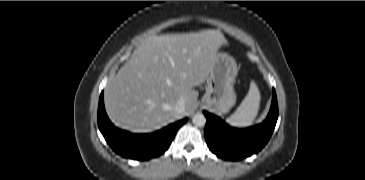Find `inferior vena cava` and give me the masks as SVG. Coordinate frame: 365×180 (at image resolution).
<instances>
[{"instance_id": "inferior-vena-cava-1", "label": "inferior vena cava", "mask_w": 365, "mask_h": 180, "mask_svg": "<svg viewBox=\"0 0 365 180\" xmlns=\"http://www.w3.org/2000/svg\"><path fill=\"white\" fill-rule=\"evenodd\" d=\"M174 110L178 113V114H183L185 111V101L183 99H179L177 101V103L174 106Z\"/></svg>"}]
</instances>
